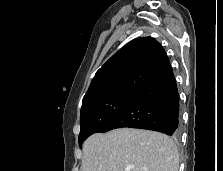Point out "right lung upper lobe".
<instances>
[{"label": "right lung upper lobe", "instance_id": "obj_1", "mask_svg": "<svg viewBox=\"0 0 223 171\" xmlns=\"http://www.w3.org/2000/svg\"><path fill=\"white\" fill-rule=\"evenodd\" d=\"M171 71L166 52L155 39H134L97 71L82 106L113 93L138 94Z\"/></svg>", "mask_w": 223, "mask_h": 171}]
</instances>
